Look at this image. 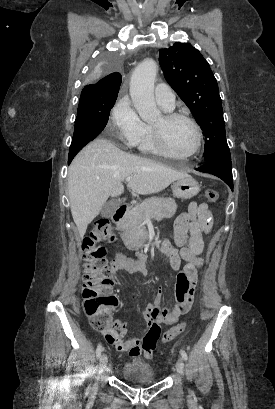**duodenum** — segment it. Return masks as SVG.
<instances>
[{"mask_svg":"<svg viewBox=\"0 0 275 409\" xmlns=\"http://www.w3.org/2000/svg\"><path fill=\"white\" fill-rule=\"evenodd\" d=\"M128 211H129L128 205L126 204L120 205L113 214L112 217L113 222L115 224H121L124 221Z\"/></svg>","mask_w":275,"mask_h":409,"instance_id":"duodenum-1","label":"duodenum"}]
</instances>
